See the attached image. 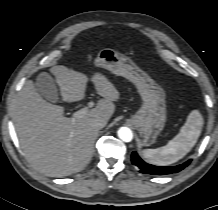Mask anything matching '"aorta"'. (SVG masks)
Wrapping results in <instances>:
<instances>
[{
	"instance_id": "762f6f07",
	"label": "aorta",
	"mask_w": 218,
	"mask_h": 210,
	"mask_svg": "<svg viewBox=\"0 0 218 210\" xmlns=\"http://www.w3.org/2000/svg\"><path fill=\"white\" fill-rule=\"evenodd\" d=\"M118 137L124 142H130L133 139V133L128 127H121L118 130Z\"/></svg>"
}]
</instances>
